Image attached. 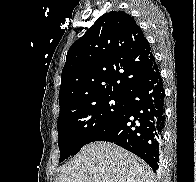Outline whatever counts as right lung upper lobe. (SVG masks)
<instances>
[{"instance_id": "1", "label": "right lung upper lobe", "mask_w": 196, "mask_h": 182, "mask_svg": "<svg viewBox=\"0 0 196 182\" xmlns=\"http://www.w3.org/2000/svg\"><path fill=\"white\" fill-rule=\"evenodd\" d=\"M155 63L134 18L123 11L105 13L67 52L60 113L101 96L126 97Z\"/></svg>"}]
</instances>
